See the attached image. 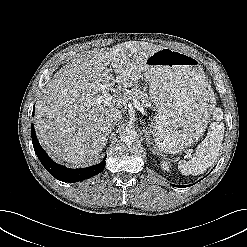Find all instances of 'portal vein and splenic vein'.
Listing matches in <instances>:
<instances>
[{
    "mask_svg": "<svg viewBox=\"0 0 247 247\" xmlns=\"http://www.w3.org/2000/svg\"><path fill=\"white\" fill-rule=\"evenodd\" d=\"M97 102L99 104H105L107 106H110L113 102V96L110 93L104 92L101 96L97 98ZM134 105L137 109H140V103L134 100ZM191 152V150H189ZM190 155V154H189Z\"/></svg>",
    "mask_w": 247,
    "mask_h": 247,
    "instance_id": "obj_1",
    "label": "portal vein and splenic vein"
}]
</instances>
